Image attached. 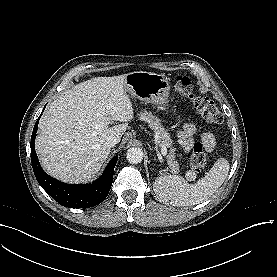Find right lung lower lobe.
Masks as SVG:
<instances>
[{
	"instance_id": "1",
	"label": "right lung lower lobe",
	"mask_w": 277,
	"mask_h": 277,
	"mask_svg": "<svg viewBox=\"0 0 277 277\" xmlns=\"http://www.w3.org/2000/svg\"><path fill=\"white\" fill-rule=\"evenodd\" d=\"M41 115L35 123L31 137V162L37 181L62 206L69 208H89L100 204L107 197L111 188L118 155L113 157L100 178L92 184H66L50 177L41 168L34 146Z\"/></svg>"
}]
</instances>
